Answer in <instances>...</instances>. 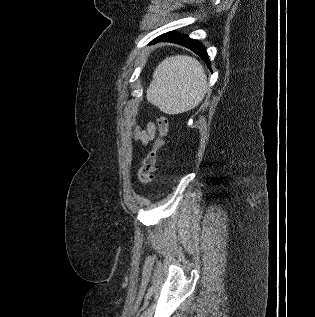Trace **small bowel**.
<instances>
[{
    "instance_id": "small-bowel-1",
    "label": "small bowel",
    "mask_w": 315,
    "mask_h": 317,
    "mask_svg": "<svg viewBox=\"0 0 315 317\" xmlns=\"http://www.w3.org/2000/svg\"><path fill=\"white\" fill-rule=\"evenodd\" d=\"M131 131L135 141L147 145L155 139L156 126L152 121H148L144 128H141L135 121L131 123Z\"/></svg>"
}]
</instances>
